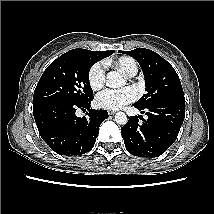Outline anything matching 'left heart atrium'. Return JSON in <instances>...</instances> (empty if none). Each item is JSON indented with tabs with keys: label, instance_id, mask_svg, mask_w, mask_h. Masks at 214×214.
I'll use <instances>...</instances> for the list:
<instances>
[{
	"label": "left heart atrium",
	"instance_id": "left-heart-atrium-1",
	"mask_svg": "<svg viewBox=\"0 0 214 214\" xmlns=\"http://www.w3.org/2000/svg\"><path fill=\"white\" fill-rule=\"evenodd\" d=\"M136 97V90L132 87H126L120 90L108 89L96 97V104L103 109L118 110L134 101Z\"/></svg>",
	"mask_w": 214,
	"mask_h": 214
}]
</instances>
